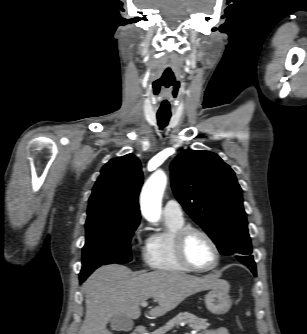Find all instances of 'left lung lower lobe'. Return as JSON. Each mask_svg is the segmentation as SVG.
I'll use <instances>...</instances> for the list:
<instances>
[{"instance_id":"0a47b994","label":"left lung lower lobe","mask_w":307,"mask_h":334,"mask_svg":"<svg viewBox=\"0 0 307 334\" xmlns=\"http://www.w3.org/2000/svg\"><path fill=\"white\" fill-rule=\"evenodd\" d=\"M250 270L252 271V273L256 276V268H250Z\"/></svg>"}]
</instances>
